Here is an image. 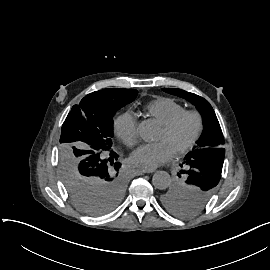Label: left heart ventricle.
Masks as SVG:
<instances>
[{"instance_id": "b2bd125f", "label": "left heart ventricle", "mask_w": 270, "mask_h": 270, "mask_svg": "<svg viewBox=\"0 0 270 270\" xmlns=\"http://www.w3.org/2000/svg\"><path fill=\"white\" fill-rule=\"evenodd\" d=\"M195 129V121L191 117L185 118L179 126L172 132L169 133L162 126L157 141H169L174 145V147H178L181 144L186 143L192 136Z\"/></svg>"}]
</instances>
